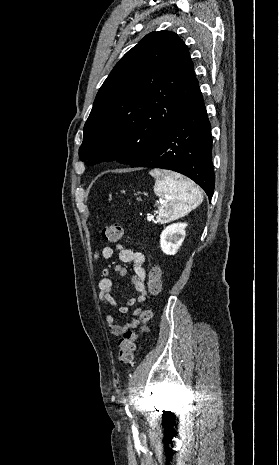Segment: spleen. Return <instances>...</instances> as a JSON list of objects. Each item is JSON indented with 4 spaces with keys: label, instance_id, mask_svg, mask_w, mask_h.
Segmentation results:
<instances>
[{
    "label": "spleen",
    "instance_id": "obj_1",
    "mask_svg": "<svg viewBox=\"0 0 279 465\" xmlns=\"http://www.w3.org/2000/svg\"><path fill=\"white\" fill-rule=\"evenodd\" d=\"M154 193L160 198L157 220L161 223L178 219L197 208L203 201L201 190L189 179L176 173L154 169Z\"/></svg>",
    "mask_w": 279,
    "mask_h": 465
}]
</instances>
